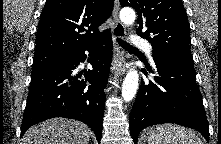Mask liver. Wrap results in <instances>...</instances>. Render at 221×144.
<instances>
[{"label": "liver", "instance_id": "6515ba94", "mask_svg": "<svg viewBox=\"0 0 221 144\" xmlns=\"http://www.w3.org/2000/svg\"><path fill=\"white\" fill-rule=\"evenodd\" d=\"M90 128L72 119L53 118L31 127L22 144H89Z\"/></svg>", "mask_w": 221, "mask_h": 144}]
</instances>
